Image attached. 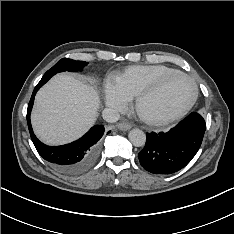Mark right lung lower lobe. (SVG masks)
Here are the masks:
<instances>
[{
  "mask_svg": "<svg viewBox=\"0 0 234 234\" xmlns=\"http://www.w3.org/2000/svg\"><path fill=\"white\" fill-rule=\"evenodd\" d=\"M42 85L44 84L39 82L35 87L27 110V123L34 146L40 156L52 163L59 171L69 175L82 173L91 167L97 158L99 140L103 136L104 127L103 125H96L79 140L62 146H47L40 142L33 133L30 113L35 94Z\"/></svg>",
  "mask_w": 234,
  "mask_h": 234,
  "instance_id": "98d812e1",
  "label": "right lung lower lobe"
}]
</instances>
